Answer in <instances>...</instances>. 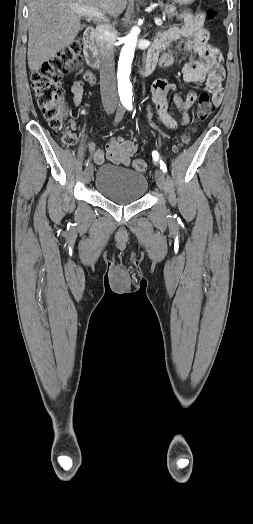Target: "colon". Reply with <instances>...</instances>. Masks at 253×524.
Returning <instances> with one entry per match:
<instances>
[{
    "label": "colon",
    "instance_id": "obj_1",
    "mask_svg": "<svg viewBox=\"0 0 253 524\" xmlns=\"http://www.w3.org/2000/svg\"><path fill=\"white\" fill-rule=\"evenodd\" d=\"M207 16H213V10L207 12ZM84 47L82 39H75L66 47L60 50L55 56L44 62L31 75V84L34 91L37 104L49 126L62 132V142L71 146L75 144L74 134L64 127V93L61 86V78L67 75L75 66L78 65L81 52ZM97 79L92 77L89 80L72 79L69 82V91L79 96L84 95L85 89L95 84ZM214 109L210 102L208 94H201L198 103L197 118L204 121L211 117ZM189 140L187 135L183 136L181 143L185 144ZM134 168L143 172L147 169V163L143 159H137L134 162Z\"/></svg>",
    "mask_w": 253,
    "mask_h": 524
}]
</instances>
